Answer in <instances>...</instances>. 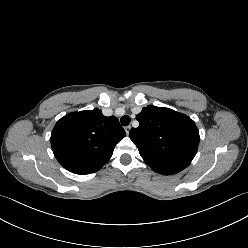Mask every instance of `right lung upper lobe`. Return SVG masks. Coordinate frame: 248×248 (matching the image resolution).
<instances>
[{
  "mask_svg": "<svg viewBox=\"0 0 248 248\" xmlns=\"http://www.w3.org/2000/svg\"><path fill=\"white\" fill-rule=\"evenodd\" d=\"M126 133L116 117L99 109L72 112L56 123L51 146L58 162L75 174L98 171Z\"/></svg>",
  "mask_w": 248,
  "mask_h": 248,
  "instance_id": "right-lung-upper-lobe-1",
  "label": "right lung upper lobe"
}]
</instances>
